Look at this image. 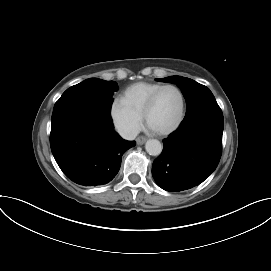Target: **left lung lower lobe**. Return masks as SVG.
Returning a JSON list of instances; mask_svg holds the SVG:
<instances>
[{
	"mask_svg": "<svg viewBox=\"0 0 271 271\" xmlns=\"http://www.w3.org/2000/svg\"><path fill=\"white\" fill-rule=\"evenodd\" d=\"M223 114L218 106L200 107L186 115L179 128L163 140L152 175L166 191L199 185L216 169L222 152Z\"/></svg>",
	"mask_w": 271,
	"mask_h": 271,
	"instance_id": "left-lung-lower-lobe-1",
	"label": "left lung lower lobe"
}]
</instances>
